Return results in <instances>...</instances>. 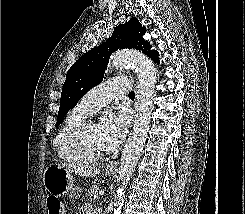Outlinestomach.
I'll return each mask as SVG.
<instances>
[{"label": "stomach", "instance_id": "obj_1", "mask_svg": "<svg viewBox=\"0 0 245 214\" xmlns=\"http://www.w3.org/2000/svg\"><path fill=\"white\" fill-rule=\"evenodd\" d=\"M112 173V170H106L107 175ZM43 182L46 190L53 195H69L73 199L81 196L82 189L74 185L72 173L59 165H49L45 169Z\"/></svg>", "mask_w": 245, "mask_h": 214}]
</instances>
